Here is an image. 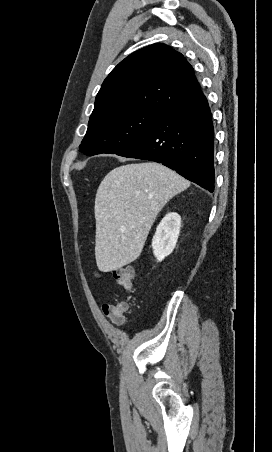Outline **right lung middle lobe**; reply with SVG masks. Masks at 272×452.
<instances>
[{
  "instance_id": "right-lung-middle-lobe-1",
  "label": "right lung middle lobe",
  "mask_w": 272,
  "mask_h": 452,
  "mask_svg": "<svg viewBox=\"0 0 272 452\" xmlns=\"http://www.w3.org/2000/svg\"><path fill=\"white\" fill-rule=\"evenodd\" d=\"M162 114L133 109L89 120L87 133L79 146L87 156L118 154L139 139Z\"/></svg>"
}]
</instances>
